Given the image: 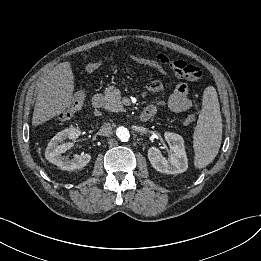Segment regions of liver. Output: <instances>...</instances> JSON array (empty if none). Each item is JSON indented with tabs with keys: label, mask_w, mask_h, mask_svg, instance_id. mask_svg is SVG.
<instances>
[{
	"label": "liver",
	"mask_w": 261,
	"mask_h": 261,
	"mask_svg": "<svg viewBox=\"0 0 261 261\" xmlns=\"http://www.w3.org/2000/svg\"><path fill=\"white\" fill-rule=\"evenodd\" d=\"M74 75L69 62L55 66L43 80L39 89L32 125L38 126L63 112L71 104Z\"/></svg>",
	"instance_id": "obj_1"
}]
</instances>
